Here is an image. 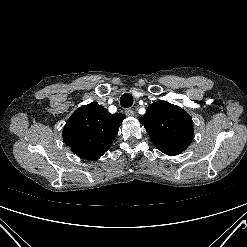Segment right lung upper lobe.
Here are the masks:
<instances>
[{"instance_id":"1","label":"right lung upper lobe","mask_w":247,"mask_h":247,"mask_svg":"<svg viewBox=\"0 0 247 247\" xmlns=\"http://www.w3.org/2000/svg\"><path fill=\"white\" fill-rule=\"evenodd\" d=\"M125 115L110 114L93 102L78 108L63 129V139L77 156L96 161L111 146Z\"/></svg>"}]
</instances>
